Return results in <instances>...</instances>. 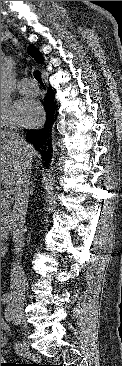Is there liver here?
I'll return each instance as SVG.
<instances>
[{"instance_id":"1","label":"liver","mask_w":122,"mask_h":366,"mask_svg":"<svg viewBox=\"0 0 122 366\" xmlns=\"http://www.w3.org/2000/svg\"><path fill=\"white\" fill-rule=\"evenodd\" d=\"M29 149L27 152L22 146L15 145L13 140L8 137V131L1 130V184L6 188L13 189L16 182L23 174L26 153L32 155L31 168L34 160L39 157L38 151L24 141Z\"/></svg>"}]
</instances>
